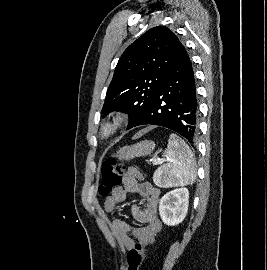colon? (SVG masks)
Instances as JSON below:
<instances>
[{
    "label": "colon",
    "mask_w": 267,
    "mask_h": 270,
    "mask_svg": "<svg viewBox=\"0 0 267 270\" xmlns=\"http://www.w3.org/2000/svg\"><path fill=\"white\" fill-rule=\"evenodd\" d=\"M101 183L99 193L103 196L112 194L119 188L123 180V169L114 158L106 159L101 166ZM145 257V248L136 243L127 253V270H140Z\"/></svg>",
    "instance_id": "obj_1"
}]
</instances>
